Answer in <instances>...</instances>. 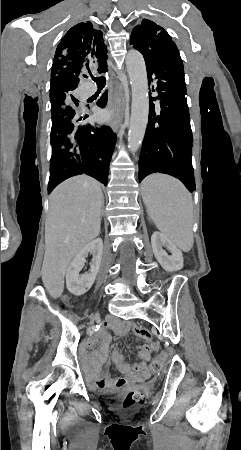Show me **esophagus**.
<instances>
[{"label": "esophagus", "mask_w": 241, "mask_h": 450, "mask_svg": "<svg viewBox=\"0 0 241 450\" xmlns=\"http://www.w3.org/2000/svg\"><path fill=\"white\" fill-rule=\"evenodd\" d=\"M109 110L113 113L114 117L110 121L109 125L111 129L117 133L119 126L123 120L124 107H125V98L124 93L121 88L113 83V86L110 90L109 101H108Z\"/></svg>", "instance_id": "1"}]
</instances>
